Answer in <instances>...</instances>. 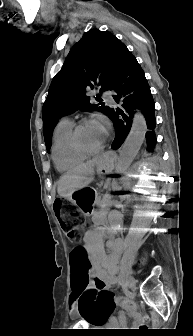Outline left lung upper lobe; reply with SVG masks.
Wrapping results in <instances>:
<instances>
[{"label":"left lung upper lobe","mask_w":193,"mask_h":336,"mask_svg":"<svg viewBox=\"0 0 193 336\" xmlns=\"http://www.w3.org/2000/svg\"><path fill=\"white\" fill-rule=\"evenodd\" d=\"M126 48L116 36L107 31L91 29L70 50L61 70L53 78L43 104V130L47 151L58 120L77 110L100 111L107 116L112 108L90 103L86 95L100 86V93L110 90L118 70L120 57Z\"/></svg>","instance_id":"1"}]
</instances>
